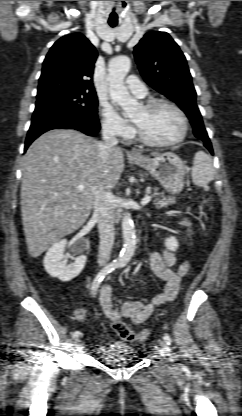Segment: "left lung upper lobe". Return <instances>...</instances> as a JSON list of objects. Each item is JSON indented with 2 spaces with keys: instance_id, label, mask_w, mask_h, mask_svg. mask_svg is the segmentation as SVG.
Instances as JSON below:
<instances>
[{
  "instance_id": "left-lung-upper-lobe-1",
  "label": "left lung upper lobe",
  "mask_w": 242,
  "mask_h": 416,
  "mask_svg": "<svg viewBox=\"0 0 242 416\" xmlns=\"http://www.w3.org/2000/svg\"><path fill=\"white\" fill-rule=\"evenodd\" d=\"M138 68L147 84L173 100L188 116L194 135L208 141L186 58L166 32H149L134 47Z\"/></svg>"
}]
</instances>
